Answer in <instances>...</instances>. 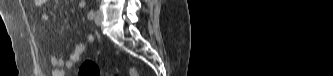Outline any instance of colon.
Here are the masks:
<instances>
[{"label": "colon", "instance_id": "colon-1", "mask_svg": "<svg viewBox=\"0 0 333 76\" xmlns=\"http://www.w3.org/2000/svg\"><path fill=\"white\" fill-rule=\"evenodd\" d=\"M80 76H101L102 73L97 66L96 62L91 59H86L80 65L78 71ZM138 72L136 69L132 68L130 70V76H137Z\"/></svg>", "mask_w": 333, "mask_h": 76}]
</instances>
